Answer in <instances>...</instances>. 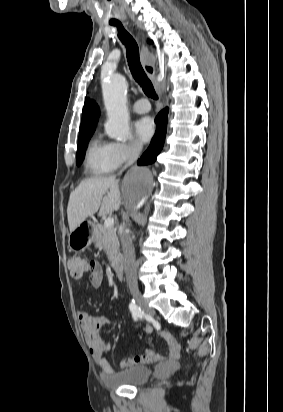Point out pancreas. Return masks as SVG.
I'll list each match as a JSON object with an SVG mask.
<instances>
[{
  "label": "pancreas",
  "instance_id": "1",
  "mask_svg": "<svg viewBox=\"0 0 283 412\" xmlns=\"http://www.w3.org/2000/svg\"><path fill=\"white\" fill-rule=\"evenodd\" d=\"M95 245L103 249L114 265L119 251V240L116 230L113 227L106 228L102 224H97L93 231Z\"/></svg>",
  "mask_w": 283,
  "mask_h": 412
}]
</instances>
